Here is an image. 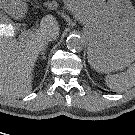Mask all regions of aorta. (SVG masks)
<instances>
[{
	"mask_svg": "<svg viewBox=\"0 0 135 135\" xmlns=\"http://www.w3.org/2000/svg\"><path fill=\"white\" fill-rule=\"evenodd\" d=\"M85 44L84 37L80 34H71L67 37L66 45L69 50L80 52Z\"/></svg>",
	"mask_w": 135,
	"mask_h": 135,
	"instance_id": "762f6f07",
	"label": "aorta"
}]
</instances>
